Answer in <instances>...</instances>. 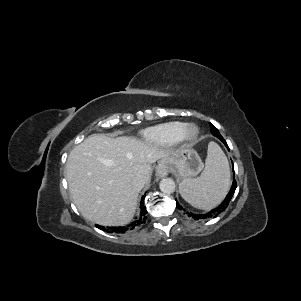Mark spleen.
Here are the masks:
<instances>
[{
	"instance_id": "spleen-1",
	"label": "spleen",
	"mask_w": 301,
	"mask_h": 301,
	"mask_svg": "<svg viewBox=\"0 0 301 301\" xmlns=\"http://www.w3.org/2000/svg\"><path fill=\"white\" fill-rule=\"evenodd\" d=\"M230 187V171L226 155L215 142L208 145L205 168L197 178H186L179 184L183 199L198 209L217 206Z\"/></svg>"
}]
</instances>
